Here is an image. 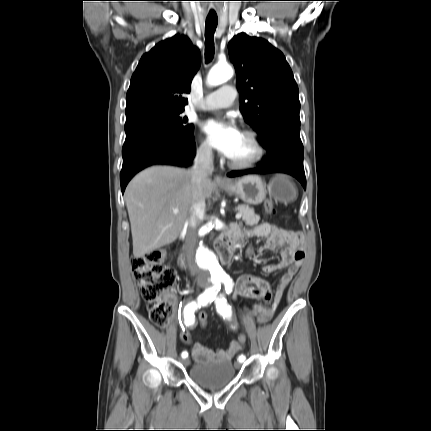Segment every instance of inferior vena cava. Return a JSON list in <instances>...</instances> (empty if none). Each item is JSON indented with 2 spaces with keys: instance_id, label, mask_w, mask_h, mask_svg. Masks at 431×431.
Instances as JSON below:
<instances>
[{
  "instance_id": "obj_1",
  "label": "inferior vena cava",
  "mask_w": 431,
  "mask_h": 431,
  "mask_svg": "<svg viewBox=\"0 0 431 431\" xmlns=\"http://www.w3.org/2000/svg\"><path fill=\"white\" fill-rule=\"evenodd\" d=\"M213 169L212 148L208 145L199 148L194 159L193 167L190 170L194 202L191 206V214L186 221L187 235L185 241L186 255L188 260L191 262L190 268L191 271L196 274H199L200 272L192 263V260L198 241L197 228L205 213V200L201 193V183L212 175Z\"/></svg>"
}]
</instances>
